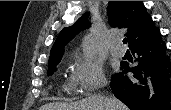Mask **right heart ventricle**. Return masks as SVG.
<instances>
[{"label":"right heart ventricle","instance_id":"obj_1","mask_svg":"<svg viewBox=\"0 0 171 110\" xmlns=\"http://www.w3.org/2000/svg\"><path fill=\"white\" fill-rule=\"evenodd\" d=\"M65 88L68 92H77L78 91L76 84L73 82V80L71 78L66 83Z\"/></svg>","mask_w":171,"mask_h":110}]
</instances>
